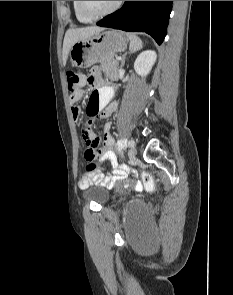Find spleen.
I'll use <instances>...</instances> for the list:
<instances>
[{
	"label": "spleen",
	"instance_id": "obj_1",
	"mask_svg": "<svg viewBox=\"0 0 233 295\" xmlns=\"http://www.w3.org/2000/svg\"><path fill=\"white\" fill-rule=\"evenodd\" d=\"M128 38L130 40V50L137 51L140 50L143 46L142 40L135 34L129 33Z\"/></svg>",
	"mask_w": 233,
	"mask_h": 295
}]
</instances>
